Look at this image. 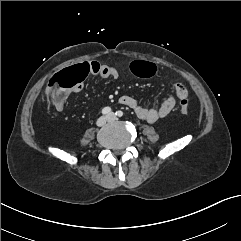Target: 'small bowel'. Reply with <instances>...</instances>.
Instances as JSON below:
<instances>
[{"label": "small bowel", "instance_id": "small-bowel-1", "mask_svg": "<svg viewBox=\"0 0 241 241\" xmlns=\"http://www.w3.org/2000/svg\"><path fill=\"white\" fill-rule=\"evenodd\" d=\"M87 62H89V64L91 65V74L98 75L103 79H112V80L118 79L119 72L115 67L109 66L107 64H102L98 61H87ZM82 88H83V85L79 84L73 89V91L80 92ZM180 88L186 89L185 86L180 83H177L174 85V92L177 96ZM66 97H67V94H65V99ZM64 102L65 100L63 102L53 103V106L57 111L62 112L64 109ZM118 103L133 109L138 118L145 120L149 123H154L166 117L172 112V110L176 105V100L173 96H169L163 101L160 107L147 108V107L141 106L134 97H131L128 95H122L118 98Z\"/></svg>", "mask_w": 241, "mask_h": 241}]
</instances>
